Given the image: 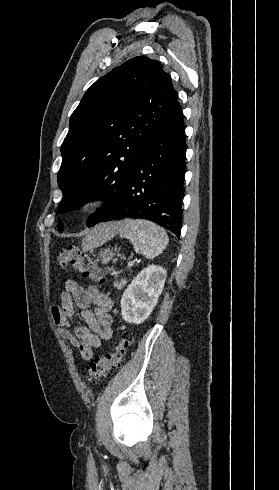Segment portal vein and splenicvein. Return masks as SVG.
<instances>
[{
	"label": "portal vein and splenic vein",
	"mask_w": 279,
	"mask_h": 490,
	"mask_svg": "<svg viewBox=\"0 0 279 490\" xmlns=\"http://www.w3.org/2000/svg\"><path fill=\"white\" fill-rule=\"evenodd\" d=\"M127 266H133V262H128Z\"/></svg>",
	"instance_id": "1"
}]
</instances>
